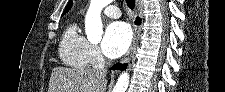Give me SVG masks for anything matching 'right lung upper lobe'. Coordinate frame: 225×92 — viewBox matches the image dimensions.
<instances>
[{
  "label": "right lung upper lobe",
  "instance_id": "cb5924a9",
  "mask_svg": "<svg viewBox=\"0 0 225 92\" xmlns=\"http://www.w3.org/2000/svg\"><path fill=\"white\" fill-rule=\"evenodd\" d=\"M72 7V1H69V4L67 5V7L65 8V11L63 12V15L66 14Z\"/></svg>",
  "mask_w": 225,
  "mask_h": 92
}]
</instances>
